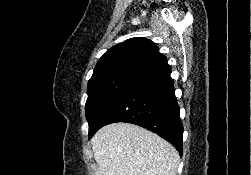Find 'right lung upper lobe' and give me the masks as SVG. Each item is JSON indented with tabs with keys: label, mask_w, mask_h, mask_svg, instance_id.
<instances>
[{
	"label": "right lung upper lobe",
	"mask_w": 251,
	"mask_h": 175,
	"mask_svg": "<svg viewBox=\"0 0 251 175\" xmlns=\"http://www.w3.org/2000/svg\"><path fill=\"white\" fill-rule=\"evenodd\" d=\"M171 70L154 42L136 37L109 49L98 61L88 83L115 76L146 79Z\"/></svg>",
	"instance_id": "right-lung-upper-lobe-1"
}]
</instances>
